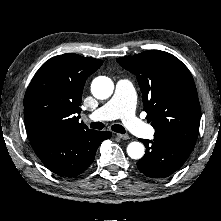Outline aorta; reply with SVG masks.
I'll return each instance as SVG.
<instances>
[{"instance_id": "aorta-1", "label": "aorta", "mask_w": 221, "mask_h": 221, "mask_svg": "<svg viewBox=\"0 0 221 221\" xmlns=\"http://www.w3.org/2000/svg\"><path fill=\"white\" fill-rule=\"evenodd\" d=\"M114 90V84L112 80L105 76H99L95 78L91 84V92L97 99L109 98ZM145 151L144 146L140 142H131L127 146V154L132 159H140L143 157Z\"/></svg>"}]
</instances>
